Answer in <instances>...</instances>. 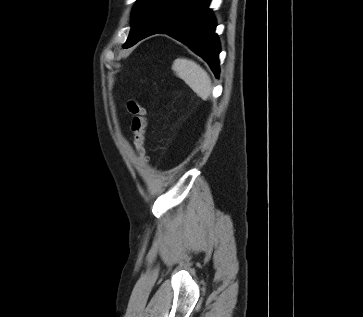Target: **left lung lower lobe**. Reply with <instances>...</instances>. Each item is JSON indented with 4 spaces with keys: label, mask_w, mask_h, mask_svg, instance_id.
<instances>
[{
    "label": "left lung lower lobe",
    "mask_w": 363,
    "mask_h": 317,
    "mask_svg": "<svg viewBox=\"0 0 363 317\" xmlns=\"http://www.w3.org/2000/svg\"><path fill=\"white\" fill-rule=\"evenodd\" d=\"M209 3L210 0H158L137 42L156 33L168 34L207 61L215 76L219 77L220 45Z\"/></svg>",
    "instance_id": "0a47b994"
}]
</instances>
